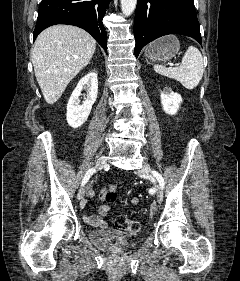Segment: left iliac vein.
<instances>
[{
    "mask_svg": "<svg viewBox=\"0 0 240 281\" xmlns=\"http://www.w3.org/2000/svg\"><path fill=\"white\" fill-rule=\"evenodd\" d=\"M137 174L142 176V177H148L151 179L156 186V196H157V201L161 203L163 201V191L160 185L156 183V180L154 176L152 175V169L149 164L144 163L143 166L137 171Z\"/></svg>",
    "mask_w": 240,
    "mask_h": 281,
    "instance_id": "left-iliac-vein-1",
    "label": "left iliac vein"
}]
</instances>
